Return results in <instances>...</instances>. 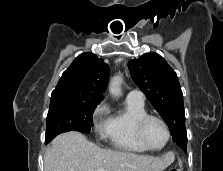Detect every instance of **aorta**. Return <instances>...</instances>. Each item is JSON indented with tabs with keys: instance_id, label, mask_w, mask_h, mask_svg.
Instances as JSON below:
<instances>
[{
	"instance_id": "obj_1",
	"label": "aorta",
	"mask_w": 223,
	"mask_h": 171,
	"mask_svg": "<svg viewBox=\"0 0 223 171\" xmlns=\"http://www.w3.org/2000/svg\"><path fill=\"white\" fill-rule=\"evenodd\" d=\"M121 83H122V77L117 75L112 78L109 84V91L110 94L113 96H119L121 94Z\"/></svg>"
}]
</instances>
